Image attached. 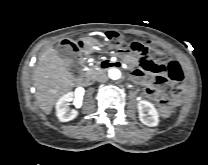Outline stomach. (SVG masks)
<instances>
[{
  "label": "stomach",
  "instance_id": "1",
  "mask_svg": "<svg viewBox=\"0 0 208 165\" xmlns=\"http://www.w3.org/2000/svg\"><path fill=\"white\" fill-rule=\"evenodd\" d=\"M85 46H95V45H99L98 40H96L95 38L92 37H87L84 39L83 41Z\"/></svg>",
  "mask_w": 208,
  "mask_h": 165
}]
</instances>
